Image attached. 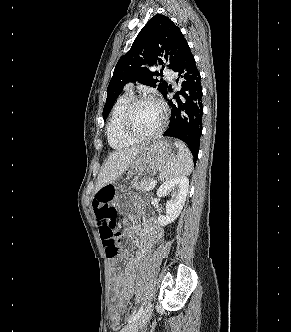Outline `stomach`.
<instances>
[{"instance_id": "stomach-1", "label": "stomach", "mask_w": 291, "mask_h": 332, "mask_svg": "<svg viewBox=\"0 0 291 332\" xmlns=\"http://www.w3.org/2000/svg\"><path fill=\"white\" fill-rule=\"evenodd\" d=\"M171 144L167 141H155L150 146L142 149L130 166V173L142 175L145 172L158 171L175 157ZM138 197L130 192L122 190L117 196L115 207L120 213H124L131 201H137Z\"/></svg>"}]
</instances>
